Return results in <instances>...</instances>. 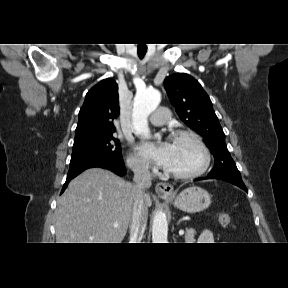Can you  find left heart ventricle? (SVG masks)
<instances>
[{"instance_id":"b2bd125f","label":"left heart ventricle","mask_w":288,"mask_h":288,"mask_svg":"<svg viewBox=\"0 0 288 288\" xmlns=\"http://www.w3.org/2000/svg\"><path fill=\"white\" fill-rule=\"evenodd\" d=\"M172 153L166 169L175 172H187L198 168L202 155L198 147L187 138L172 140Z\"/></svg>"}]
</instances>
